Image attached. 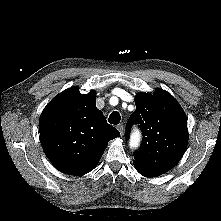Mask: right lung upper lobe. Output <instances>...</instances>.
<instances>
[{
  "label": "right lung upper lobe",
  "mask_w": 221,
  "mask_h": 221,
  "mask_svg": "<svg viewBox=\"0 0 221 221\" xmlns=\"http://www.w3.org/2000/svg\"><path fill=\"white\" fill-rule=\"evenodd\" d=\"M95 102V91L81 94L77 87H72L44 108L39 120L40 142L60 172L79 176L90 172L108 141L120 136Z\"/></svg>",
  "instance_id": "1"
}]
</instances>
